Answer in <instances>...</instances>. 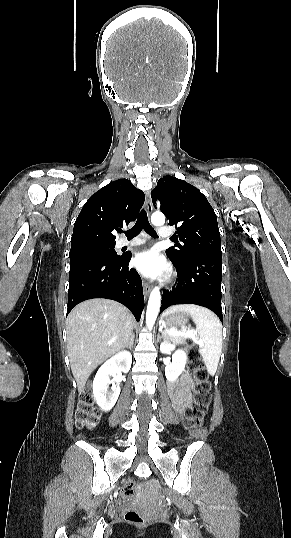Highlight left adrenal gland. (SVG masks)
I'll list each match as a JSON object with an SVG mask.
<instances>
[{"instance_id": "left-adrenal-gland-1", "label": "left adrenal gland", "mask_w": 291, "mask_h": 538, "mask_svg": "<svg viewBox=\"0 0 291 538\" xmlns=\"http://www.w3.org/2000/svg\"><path fill=\"white\" fill-rule=\"evenodd\" d=\"M160 332L162 333V337L164 338L162 328L160 329ZM159 339H160V336H158V341Z\"/></svg>"}]
</instances>
